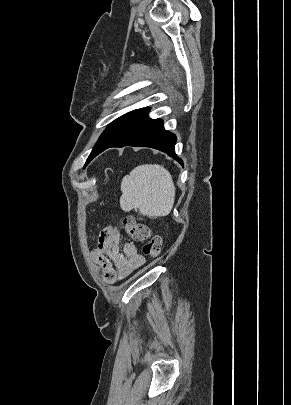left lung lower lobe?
<instances>
[{"label":"left lung lower lobe","mask_w":291,"mask_h":405,"mask_svg":"<svg viewBox=\"0 0 291 405\" xmlns=\"http://www.w3.org/2000/svg\"><path fill=\"white\" fill-rule=\"evenodd\" d=\"M149 108L136 110L133 119L123 134L112 144L99 150L96 155L110 147H151L167 153L183 165L182 160L175 154L176 136L163 127L160 119L148 117Z\"/></svg>","instance_id":"obj_1"}]
</instances>
